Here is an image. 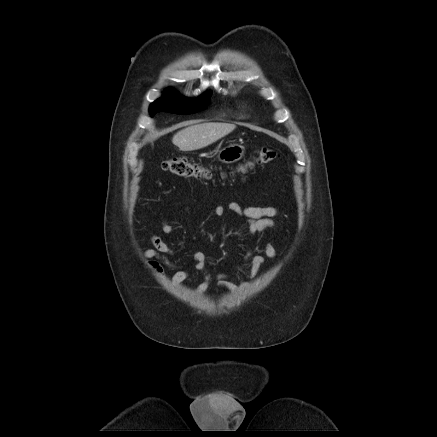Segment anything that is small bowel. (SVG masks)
<instances>
[{
	"mask_svg": "<svg viewBox=\"0 0 437 437\" xmlns=\"http://www.w3.org/2000/svg\"><path fill=\"white\" fill-rule=\"evenodd\" d=\"M226 209L233 212L237 217L244 218L248 231L251 235L262 234L266 230L275 228V217L278 215V210L275 207H241L235 202H230L226 207L218 205L214 208V214L217 217H222L226 213ZM161 230L165 234H171L174 230L173 226L163 220L161 222ZM153 248L144 251V257L147 258L149 266L156 273L159 278H163L164 267L175 270L171 281L174 286L182 284L190 276L189 272L178 269V266L170 260V256L174 254V250L158 235H152L150 238ZM277 255L276 248L269 242H265L262 248V254H254L248 250L244 256V261L250 264L249 278L253 279L257 276L259 270L266 262V259H273ZM195 261V268L197 272L203 274V281L197 286L196 292L204 293L212 279L206 268V254L203 252H196L193 255ZM218 285L231 292H241L249 286V280L235 283L230 280V275L226 273H219L215 276Z\"/></svg>",
	"mask_w": 437,
	"mask_h": 437,
	"instance_id": "obj_1",
	"label": "small bowel"
}]
</instances>
